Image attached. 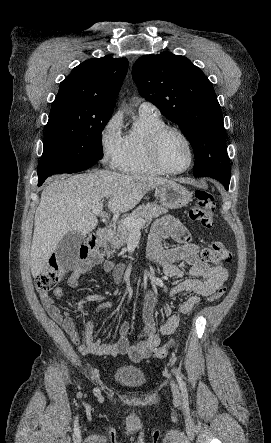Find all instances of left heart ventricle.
<instances>
[{
	"mask_svg": "<svg viewBox=\"0 0 271 443\" xmlns=\"http://www.w3.org/2000/svg\"><path fill=\"white\" fill-rule=\"evenodd\" d=\"M160 154L171 169H182L190 161V151L184 139L175 132L168 133L162 140Z\"/></svg>",
	"mask_w": 271,
	"mask_h": 443,
	"instance_id": "obj_1",
	"label": "left heart ventricle"
}]
</instances>
